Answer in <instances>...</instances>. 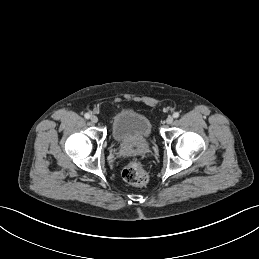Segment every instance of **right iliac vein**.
<instances>
[{
  "label": "right iliac vein",
  "instance_id": "63e3f726",
  "mask_svg": "<svg viewBox=\"0 0 259 259\" xmlns=\"http://www.w3.org/2000/svg\"><path fill=\"white\" fill-rule=\"evenodd\" d=\"M90 120L93 122V123H97L98 122V117L96 115H92L90 117Z\"/></svg>",
  "mask_w": 259,
  "mask_h": 259
}]
</instances>
